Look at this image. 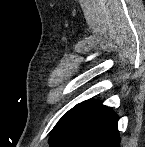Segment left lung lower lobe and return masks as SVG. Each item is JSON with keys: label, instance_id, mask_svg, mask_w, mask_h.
<instances>
[{"label": "left lung lower lobe", "instance_id": "0a47b994", "mask_svg": "<svg viewBox=\"0 0 145 147\" xmlns=\"http://www.w3.org/2000/svg\"><path fill=\"white\" fill-rule=\"evenodd\" d=\"M118 116L96 100L79 104L62 136L52 147H119Z\"/></svg>", "mask_w": 145, "mask_h": 147}]
</instances>
